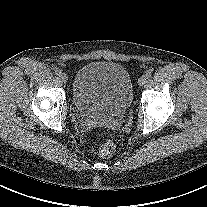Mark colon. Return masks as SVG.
<instances>
[{
    "mask_svg": "<svg viewBox=\"0 0 207 207\" xmlns=\"http://www.w3.org/2000/svg\"><path fill=\"white\" fill-rule=\"evenodd\" d=\"M115 152V144L111 140H107L106 142L100 144L98 146V154L102 158H110Z\"/></svg>",
    "mask_w": 207,
    "mask_h": 207,
    "instance_id": "5ec220e1",
    "label": "colon"
}]
</instances>
